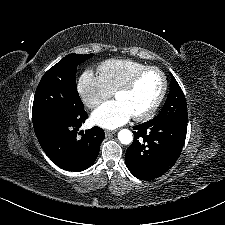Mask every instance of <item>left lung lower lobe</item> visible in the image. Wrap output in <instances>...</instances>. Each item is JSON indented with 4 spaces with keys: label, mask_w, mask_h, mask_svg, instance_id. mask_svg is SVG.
I'll use <instances>...</instances> for the list:
<instances>
[{
    "label": "left lung lower lobe",
    "mask_w": 225,
    "mask_h": 225,
    "mask_svg": "<svg viewBox=\"0 0 225 225\" xmlns=\"http://www.w3.org/2000/svg\"><path fill=\"white\" fill-rule=\"evenodd\" d=\"M133 129L134 140L126 151L127 168L141 180L162 176L181 154L187 123L149 120Z\"/></svg>",
    "instance_id": "left-lung-lower-lobe-1"
}]
</instances>
